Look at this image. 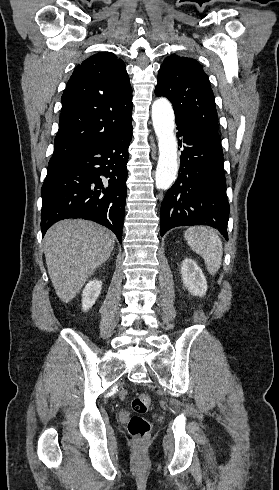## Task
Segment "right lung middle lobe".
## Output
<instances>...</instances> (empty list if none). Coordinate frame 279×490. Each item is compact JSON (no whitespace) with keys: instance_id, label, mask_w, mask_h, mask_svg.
<instances>
[{"instance_id":"1","label":"right lung middle lobe","mask_w":279,"mask_h":490,"mask_svg":"<svg viewBox=\"0 0 279 490\" xmlns=\"http://www.w3.org/2000/svg\"><path fill=\"white\" fill-rule=\"evenodd\" d=\"M54 167H55L54 165L49 164V166H48V171H49V170H51V169H53Z\"/></svg>"}]
</instances>
